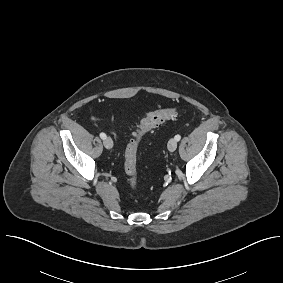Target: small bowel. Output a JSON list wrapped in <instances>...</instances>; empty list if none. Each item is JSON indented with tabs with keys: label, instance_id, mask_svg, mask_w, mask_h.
Segmentation results:
<instances>
[{
	"label": "small bowel",
	"instance_id": "1",
	"mask_svg": "<svg viewBox=\"0 0 283 283\" xmlns=\"http://www.w3.org/2000/svg\"><path fill=\"white\" fill-rule=\"evenodd\" d=\"M92 120H93V121H100L101 119H100L99 117L93 116V117H92Z\"/></svg>",
	"mask_w": 283,
	"mask_h": 283
}]
</instances>
